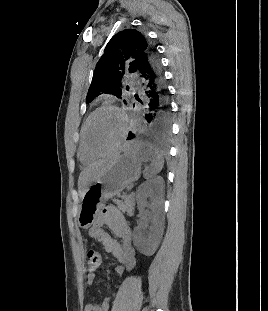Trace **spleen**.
Masks as SVG:
<instances>
[{"label":"spleen","mask_w":268,"mask_h":311,"mask_svg":"<svg viewBox=\"0 0 268 311\" xmlns=\"http://www.w3.org/2000/svg\"><path fill=\"white\" fill-rule=\"evenodd\" d=\"M133 145L137 146L138 142L134 141ZM143 160H145V161L150 160L151 161V165L149 167H147L145 169V172H144V177L146 179L153 178L163 168V164H164L163 155L161 154V152L158 149L152 147L151 145L147 146V154L143 158Z\"/></svg>","instance_id":"spleen-1"}]
</instances>
